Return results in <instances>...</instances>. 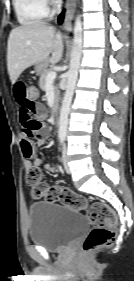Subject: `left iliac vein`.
<instances>
[{"label":"left iliac vein","instance_id":"obj_1","mask_svg":"<svg viewBox=\"0 0 134 281\" xmlns=\"http://www.w3.org/2000/svg\"><path fill=\"white\" fill-rule=\"evenodd\" d=\"M62 161H63V166H64L65 171L67 173H70V167L68 165L67 149L65 146L63 148V153H62Z\"/></svg>","mask_w":134,"mask_h":281}]
</instances>
